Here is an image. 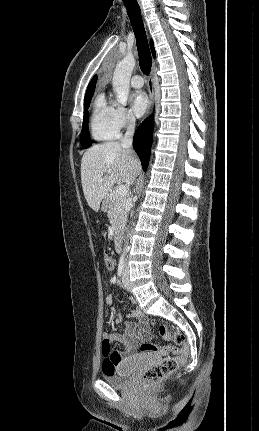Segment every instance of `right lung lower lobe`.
I'll list each match as a JSON object with an SVG mask.
<instances>
[{"label": "right lung lower lobe", "mask_w": 259, "mask_h": 431, "mask_svg": "<svg viewBox=\"0 0 259 431\" xmlns=\"http://www.w3.org/2000/svg\"><path fill=\"white\" fill-rule=\"evenodd\" d=\"M152 135L153 118H149L139 125L133 138V147L141 160L144 171H146L149 163Z\"/></svg>", "instance_id": "right-lung-lower-lobe-1"}]
</instances>
